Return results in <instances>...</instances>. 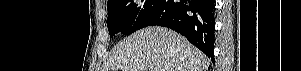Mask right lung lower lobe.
Instances as JSON below:
<instances>
[{"label":"right lung lower lobe","instance_id":"right-lung-lower-lobe-1","mask_svg":"<svg viewBox=\"0 0 301 71\" xmlns=\"http://www.w3.org/2000/svg\"><path fill=\"white\" fill-rule=\"evenodd\" d=\"M158 25L184 35L214 62V0H157L141 28Z\"/></svg>","mask_w":301,"mask_h":71}]
</instances>
